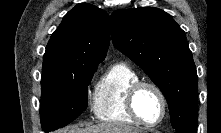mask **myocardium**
Masks as SVG:
<instances>
[{"instance_id":"1","label":"myocardium","mask_w":221,"mask_h":133,"mask_svg":"<svg viewBox=\"0 0 221 133\" xmlns=\"http://www.w3.org/2000/svg\"><path fill=\"white\" fill-rule=\"evenodd\" d=\"M143 88H150V89L154 90L160 98L161 105H162V114H161L159 120L156 121L155 123H148V122L144 121L140 117V115L137 111L136 98H137V95L139 94V92ZM126 104H127L128 112L131 115V117L137 123H139L140 125L147 127V128H153V127L160 125L163 122V120L165 119V117L167 115V111H168V103H167V99H166V96H165L163 90L157 84L152 83V82H148V81H138L129 88V90L127 92Z\"/></svg>"}]
</instances>
